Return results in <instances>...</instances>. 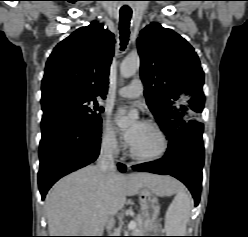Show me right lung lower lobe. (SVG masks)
I'll return each instance as SVG.
<instances>
[{
  "instance_id": "98d812e1",
  "label": "right lung lower lobe",
  "mask_w": 248,
  "mask_h": 237,
  "mask_svg": "<svg viewBox=\"0 0 248 237\" xmlns=\"http://www.w3.org/2000/svg\"><path fill=\"white\" fill-rule=\"evenodd\" d=\"M41 130L38 184L44 199L58 179L96 160L100 151L101 123L42 119ZM118 169L125 172L126 166L119 163Z\"/></svg>"
}]
</instances>
